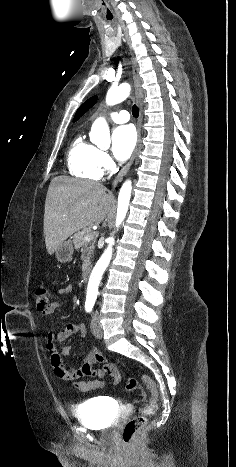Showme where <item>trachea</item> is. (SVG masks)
I'll list each match as a JSON object with an SVG mask.
<instances>
[{"instance_id":"3493384b","label":"trachea","mask_w":236,"mask_h":467,"mask_svg":"<svg viewBox=\"0 0 236 467\" xmlns=\"http://www.w3.org/2000/svg\"><path fill=\"white\" fill-rule=\"evenodd\" d=\"M132 114H133V116L136 117V118L139 116V109H138V107H137L136 105H134V106L132 107Z\"/></svg>"}]
</instances>
